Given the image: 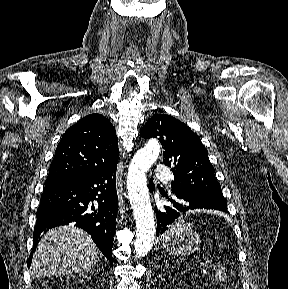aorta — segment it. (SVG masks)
I'll use <instances>...</instances> for the list:
<instances>
[{
  "mask_svg": "<svg viewBox=\"0 0 288 289\" xmlns=\"http://www.w3.org/2000/svg\"><path fill=\"white\" fill-rule=\"evenodd\" d=\"M160 154V144L151 140L137 151L129 165L127 190L136 224L134 253L145 256L155 238V217L147 187L146 174Z\"/></svg>",
  "mask_w": 288,
  "mask_h": 289,
  "instance_id": "obj_1",
  "label": "aorta"
}]
</instances>
